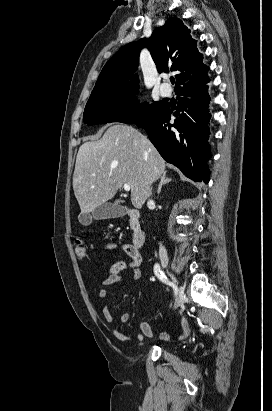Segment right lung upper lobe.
I'll use <instances>...</instances> for the list:
<instances>
[{"label": "right lung upper lobe", "mask_w": 272, "mask_h": 411, "mask_svg": "<svg viewBox=\"0 0 272 411\" xmlns=\"http://www.w3.org/2000/svg\"><path fill=\"white\" fill-rule=\"evenodd\" d=\"M147 44L159 72L168 69L179 72L176 89L199 81L208 69L201 64L202 55L190 30L174 17L155 29L149 41L142 38L119 49L103 67L93 90L118 84L137 85L138 76L132 75L137 70L140 51Z\"/></svg>", "instance_id": "obj_1"}]
</instances>
